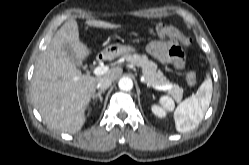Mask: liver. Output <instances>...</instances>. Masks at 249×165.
Instances as JSON below:
<instances>
[{"label": "liver", "mask_w": 249, "mask_h": 165, "mask_svg": "<svg viewBox=\"0 0 249 165\" xmlns=\"http://www.w3.org/2000/svg\"><path fill=\"white\" fill-rule=\"evenodd\" d=\"M88 26L114 29L119 25L101 20H87ZM69 44L82 61L91 50L79 39L77 21L70 19L56 32L37 60L31 81L34 106L48 126L67 133L78 132L86 121L85 111L101 78L116 80L123 72L115 67L99 76L82 74L70 60L65 47Z\"/></svg>", "instance_id": "1"}]
</instances>
